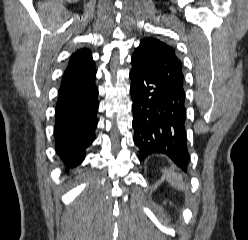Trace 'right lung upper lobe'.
Returning <instances> with one entry per match:
<instances>
[{
  "mask_svg": "<svg viewBox=\"0 0 248 240\" xmlns=\"http://www.w3.org/2000/svg\"><path fill=\"white\" fill-rule=\"evenodd\" d=\"M95 68L89 49H79L70 57L68 66L63 74L62 82L85 74Z\"/></svg>",
  "mask_w": 248,
  "mask_h": 240,
  "instance_id": "1",
  "label": "right lung upper lobe"
}]
</instances>
